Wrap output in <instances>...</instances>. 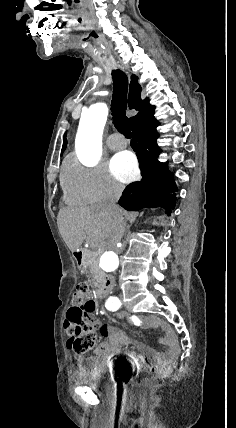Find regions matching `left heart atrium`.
<instances>
[{
    "label": "left heart atrium",
    "mask_w": 236,
    "mask_h": 428,
    "mask_svg": "<svg viewBox=\"0 0 236 428\" xmlns=\"http://www.w3.org/2000/svg\"><path fill=\"white\" fill-rule=\"evenodd\" d=\"M111 174L121 182H130L138 174L137 162L134 155L128 151L122 152L111 160Z\"/></svg>",
    "instance_id": "obj_1"
}]
</instances>
